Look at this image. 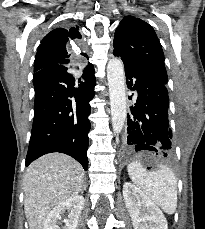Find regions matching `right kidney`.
<instances>
[{"label": "right kidney", "instance_id": "1", "mask_svg": "<svg viewBox=\"0 0 205 229\" xmlns=\"http://www.w3.org/2000/svg\"><path fill=\"white\" fill-rule=\"evenodd\" d=\"M83 206L84 197L82 195H77L59 202L49 212L43 229H61L59 221L62 219L65 223L62 229H76Z\"/></svg>", "mask_w": 205, "mask_h": 229}]
</instances>
